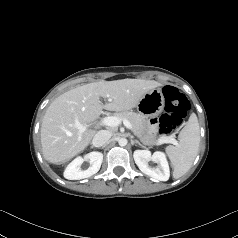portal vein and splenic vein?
I'll return each instance as SVG.
<instances>
[{
  "instance_id": "18ae733b",
  "label": "portal vein and splenic vein",
  "mask_w": 238,
  "mask_h": 238,
  "mask_svg": "<svg viewBox=\"0 0 238 238\" xmlns=\"http://www.w3.org/2000/svg\"><path fill=\"white\" fill-rule=\"evenodd\" d=\"M121 123H123L126 128L132 129V125L128 120H125V119L122 120L115 116L105 117L100 122L101 125L109 126V127H116V126L120 125ZM75 127L79 130L80 133H83L88 128L87 125L80 124L79 122L75 123ZM163 143H172L174 145H178L177 140L174 138H171V137L159 139L157 142L158 145L163 144Z\"/></svg>"
}]
</instances>
